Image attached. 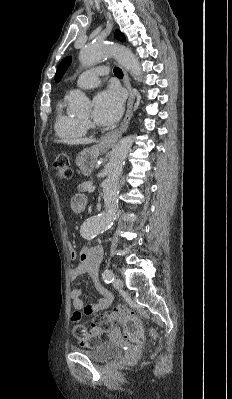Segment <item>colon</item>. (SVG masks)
Listing matches in <instances>:
<instances>
[{"label": "colon", "mask_w": 232, "mask_h": 399, "mask_svg": "<svg viewBox=\"0 0 232 399\" xmlns=\"http://www.w3.org/2000/svg\"><path fill=\"white\" fill-rule=\"evenodd\" d=\"M52 165L55 168H61V174H64V179L73 178V160L70 159V153L56 155V160H52ZM73 322L78 324L80 322V313H73ZM118 320L125 330V337H131V340L125 341V346H122V353H141L144 341V326L141 317L137 313H128L127 308H118L117 313H103L102 317H94V324L98 325H74L71 326V334L78 338L79 347H98V342L101 337L97 336L95 330H107L109 325L107 320ZM87 330V331H86Z\"/></svg>", "instance_id": "5ec220e1"}]
</instances>
